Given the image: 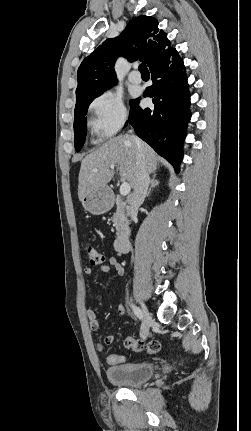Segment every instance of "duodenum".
<instances>
[{
  "instance_id": "410a0bca",
  "label": "duodenum",
  "mask_w": 251,
  "mask_h": 431,
  "mask_svg": "<svg viewBox=\"0 0 251 431\" xmlns=\"http://www.w3.org/2000/svg\"><path fill=\"white\" fill-rule=\"evenodd\" d=\"M116 251L127 253L131 249V240L128 232L121 233L114 241Z\"/></svg>"
}]
</instances>
